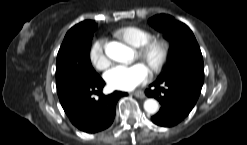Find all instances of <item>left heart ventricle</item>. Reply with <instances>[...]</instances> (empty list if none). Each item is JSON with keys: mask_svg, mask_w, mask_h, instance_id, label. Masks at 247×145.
Instances as JSON below:
<instances>
[{"mask_svg": "<svg viewBox=\"0 0 247 145\" xmlns=\"http://www.w3.org/2000/svg\"><path fill=\"white\" fill-rule=\"evenodd\" d=\"M157 57H158V54H157V53H153V54L151 55V57L149 58V60H142V59H141V61H142L145 65H147V66L149 67V64H150L151 62L156 61Z\"/></svg>", "mask_w": 247, "mask_h": 145, "instance_id": "1", "label": "left heart ventricle"}]
</instances>
